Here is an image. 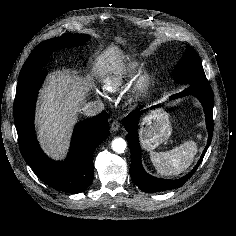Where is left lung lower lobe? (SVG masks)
<instances>
[{"instance_id": "left-lung-lower-lobe-1", "label": "left lung lower lobe", "mask_w": 236, "mask_h": 236, "mask_svg": "<svg viewBox=\"0 0 236 236\" xmlns=\"http://www.w3.org/2000/svg\"><path fill=\"white\" fill-rule=\"evenodd\" d=\"M186 95H194L200 99L202 102L205 117H206V125L208 129V141L207 145L201 155L197 165L194 169L184 177L177 180H165L152 177L148 175L141 164V151L138 141L137 134V122L140 113L132 112L130 113L124 120V127L128 132L127 140L130 147V152L132 156L130 174L132 176L133 182L144 192H159L165 191L169 189H175L181 187L197 170L202 159L210 145L212 135H213V104H214V96L213 91L209 82H203L196 85H189L185 90L180 93H177L172 96L173 98H179Z\"/></svg>"}]
</instances>
